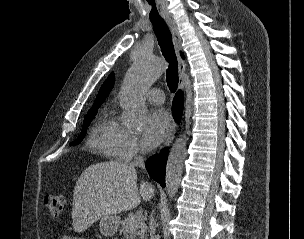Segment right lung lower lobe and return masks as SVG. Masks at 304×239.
<instances>
[{"label": "right lung lower lobe", "instance_id": "obj_1", "mask_svg": "<svg viewBox=\"0 0 304 239\" xmlns=\"http://www.w3.org/2000/svg\"><path fill=\"white\" fill-rule=\"evenodd\" d=\"M183 110V94L178 91L173 100V117L179 121ZM167 161V149L162 150L160 154L150 157L146 161V169L151 178L157 181L162 187H165V168Z\"/></svg>", "mask_w": 304, "mask_h": 239}]
</instances>
